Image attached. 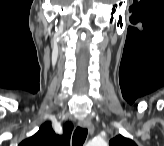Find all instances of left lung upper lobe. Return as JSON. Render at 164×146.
<instances>
[{
    "mask_svg": "<svg viewBox=\"0 0 164 146\" xmlns=\"http://www.w3.org/2000/svg\"><path fill=\"white\" fill-rule=\"evenodd\" d=\"M110 146H136V144L128 139L123 137L122 135H118L110 140L109 142Z\"/></svg>",
    "mask_w": 164,
    "mask_h": 146,
    "instance_id": "left-lung-upper-lobe-1",
    "label": "left lung upper lobe"
}]
</instances>
